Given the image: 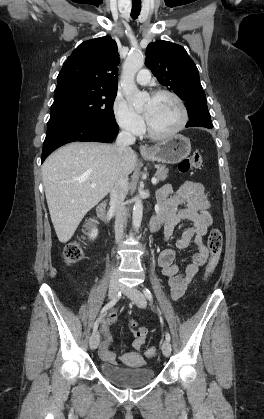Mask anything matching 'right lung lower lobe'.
<instances>
[{
  "label": "right lung lower lobe",
  "mask_w": 264,
  "mask_h": 419,
  "mask_svg": "<svg viewBox=\"0 0 264 419\" xmlns=\"http://www.w3.org/2000/svg\"><path fill=\"white\" fill-rule=\"evenodd\" d=\"M116 122L81 121L64 125L46 134L41 162L58 147L73 141H96L110 143L117 136Z\"/></svg>",
  "instance_id": "obj_1"
}]
</instances>
